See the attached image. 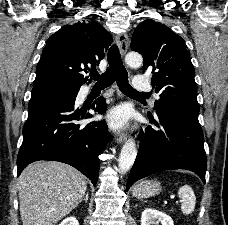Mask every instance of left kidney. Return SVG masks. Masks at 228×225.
I'll list each match as a JSON object with an SVG mask.
<instances>
[{"label": "left kidney", "instance_id": "left-kidney-1", "mask_svg": "<svg viewBox=\"0 0 228 225\" xmlns=\"http://www.w3.org/2000/svg\"><path fill=\"white\" fill-rule=\"evenodd\" d=\"M174 225L171 217L156 209H145L141 217V225Z\"/></svg>", "mask_w": 228, "mask_h": 225}]
</instances>
